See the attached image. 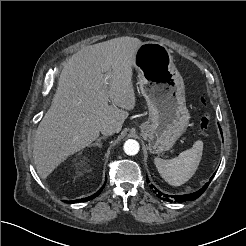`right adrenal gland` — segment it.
I'll use <instances>...</instances> for the list:
<instances>
[{
	"label": "right adrenal gland",
	"instance_id": "obj_1",
	"mask_svg": "<svg viewBox=\"0 0 246 246\" xmlns=\"http://www.w3.org/2000/svg\"><path fill=\"white\" fill-rule=\"evenodd\" d=\"M104 139H107V136H102V137H99L95 143H93L91 146H98L99 148L102 147V143H101V140H104Z\"/></svg>",
	"mask_w": 246,
	"mask_h": 246
}]
</instances>
